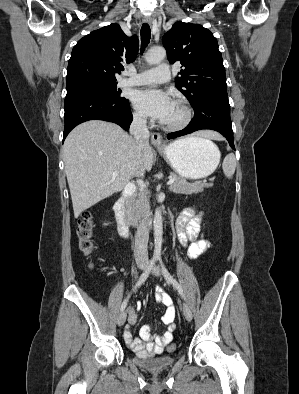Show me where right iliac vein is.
I'll return each instance as SVG.
<instances>
[{
	"label": "right iliac vein",
	"instance_id": "63e3f726",
	"mask_svg": "<svg viewBox=\"0 0 299 394\" xmlns=\"http://www.w3.org/2000/svg\"><path fill=\"white\" fill-rule=\"evenodd\" d=\"M138 267H139L140 270H144V269L146 268V266H145L144 264H140ZM126 317H127L126 312H125V311H122V312L120 313V315H119V317H118V321H117V323H118L119 326H122V325L125 323Z\"/></svg>",
	"mask_w": 299,
	"mask_h": 394
}]
</instances>
